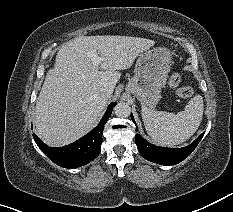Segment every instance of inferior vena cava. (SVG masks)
I'll use <instances>...</instances> for the list:
<instances>
[{"instance_id": "inferior-vena-cava-1", "label": "inferior vena cava", "mask_w": 233, "mask_h": 212, "mask_svg": "<svg viewBox=\"0 0 233 212\" xmlns=\"http://www.w3.org/2000/svg\"><path fill=\"white\" fill-rule=\"evenodd\" d=\"M101 94L104 96V97H110L112 95V91L108 88H102L101 89Z\"/></svg>"}]
</instances>
